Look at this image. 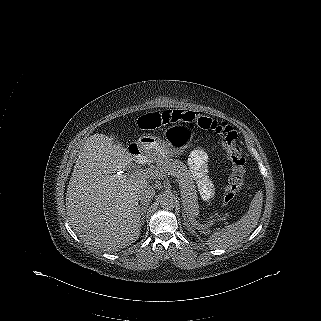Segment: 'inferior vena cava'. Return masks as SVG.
Listing matches in <instances>:
<instances>
[{
  "label": "inferior vena cava",
  "mask_w": 321,
  "mask_h": 321,
  "mask_svg": "<svg viewBox=\"0 0 321 321\" xmlns=\"http://www.w3.org/2000/svg\"><path fill=\"white\" fill-rule=\"evenodd\" d=\"M139 200L142 203H149L155 195V188L152 185H143L138 192Z\"/></svg>",
  "instance_id": "1"
}]
</instances>
